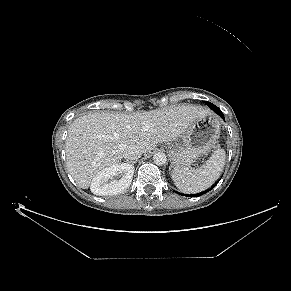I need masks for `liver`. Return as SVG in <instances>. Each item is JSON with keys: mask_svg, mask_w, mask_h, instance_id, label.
<instances>
[{"mask_svg": "<svg viewBox=\"0 0 291 291\" xmlns=\"http://www.w3.org/2000/svg\"><path fill=\"white\" fill-rule=\"evenodd\" d=\"M209 114L201 106L182 104L133 115L80 116L69 127L65 142L68 171L79 187L87 189L100 171L122 160L126 148L136 146L148 153L157 144L176 140L194 121Z\"/></svg>", "mask_w": 291, "mask_h": 291, "instance_id": "6515ba94", "label": "liver"}]
</instances>
